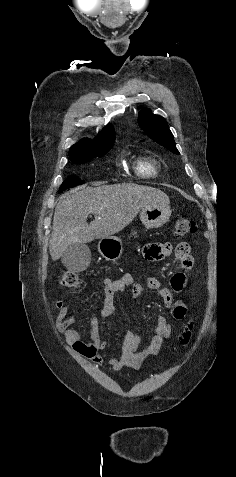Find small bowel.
Returning <instances> with one entry per match:
<instances>
[{"mask_svg":"<svg viewBox=\"0 0 236 477\" xmlns=\"http://www.w3.org/2000/svg\"><path fill=\"white\" fill-rule=\"evenodd\" d=\"M177 249H187L186 254L177 252ZM172 253L170 243H153L144 249V257L149 261H160ZM176 258L181 263L182 271L173 275L171 280L172 289L165 287L160 279L156 277H147L144 283L137 282L132 275L124 274L116 279L104 278L102 280L104 299L100 316L103 318L114 314L116 310L115 295L125 291H131L134 298H137L144 287L154 290L160 296L165 307L171 310V315L175 320L182 321L187 316L186 303L175 295H180L186 287L187 281L185 273L190 271L194 265V258L190 254L188 243L181 242L176 247ZM58 309L56 327L59 332L65 335L66 342L73 350L82 356L91 359L96 365H101L104 357L101 352L106 348L107 343L102 341L99 336L98 323L94 315L84 316L92 325L91 338L84 341L80 333L72 327L79 316L70 313L64 300L58 299L55 302ZM172 334V327L163 316L157 319L154 334L149 346L140 354L134 355V350L141 343L142 336L132 331L125 333L118 355L107 359L114 372H118L125 367H141L148 359L156 357L161 351V347L166 339Z\"/></svg>","mask_w":236,"mask_h":477,"instance_id":"small-bowel-1","label":"small bowel"}]
</instances>
